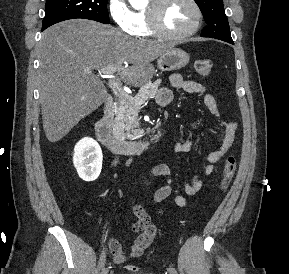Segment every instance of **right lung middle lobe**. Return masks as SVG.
Segmentation results:
<instances>
[{"label": "right lung middle lobe", "instance_id": "dd1d6c3e", "mask_svg": "<svg viewBox=\"0 0 289 274\" xmlns=\"http://www.w3.org/2000/svg\"><path fill=\"white\" fill-rule=\"evenodd\" d=\"M108 0H47L42 29L60 21L84 18L109 23Z\"/></svg>", "mask_w": 289, "mask_h": 274}]
</instances>
